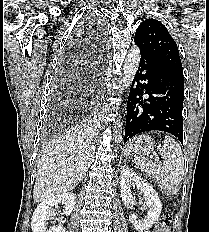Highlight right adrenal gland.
Returning a JSON list of instances; mask_svg holds the SVG:
<instances>
[{"label":"right adrenal gland","mask_w":209,"mask_h":232,"mask_svg":"<svg viewBox=\"0 0 209 232\" xmlns=\"http://www.w3.org/2000/svg\"><path fill=\"white\" fill-rule=\"evenodd\" d=\"M83 179H86V174L83 175L82 180H83Z\"/></svg>","instance_id":"obj_1"}]
</instances>
